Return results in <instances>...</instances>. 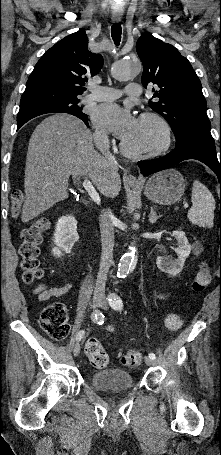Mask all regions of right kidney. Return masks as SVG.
Here are the masks:
<instances>
[{
    "mask_svg": "<svg viewBox=\"0 0 221 455\" xmlns=\"http://www.w3.org/2000/svg\"><path fill=\"white\" fill-rule=\"evenodd\" d=\"M54 245L51 253L60 258L62 252L70 253L75 242L78 241L77 220L73 216H63L58 219L54 232Z\"/></svg>",
    "mask_w": 221,
    "mask_h": 455,
    "instance_id": "1",
    "label": "right kidney"
}]
</instances>
